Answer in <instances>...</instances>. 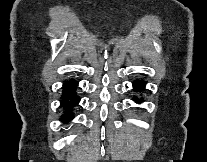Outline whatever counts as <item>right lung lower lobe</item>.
I'll list each match as a JSON object with an SVG mask.
<instances>
[{"mask_svg":"<svg viewBox=\"0 0 207 162\" xmlns=\"http://www.w3.org/2000/svg\"><path fill=\"white\" fill-rule=\"evenodd\" d=\"M77 81L71 79L68 83L64 84V93L62 95V107L64 109L65 121H69L73 118V107L79 103L80 98L76 95V85Z\"/></svg>","mask_w":207,"mask_h":162,"instance_id":"right-lung-lower-lobe-1","label":"right lung lower lobe"}]
</instances>
